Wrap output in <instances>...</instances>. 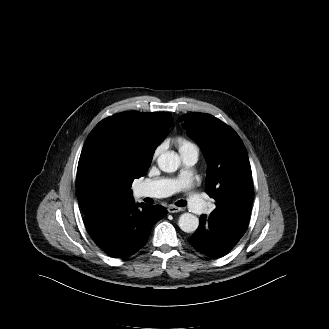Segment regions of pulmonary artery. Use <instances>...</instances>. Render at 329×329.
I'll return each mask as SVG.
<instances>
[{
	"instance_id": "obj_1",
	"label": "pulmonary artery",
	"mask_w": 329,
	"mask_h": 329,
	"mask_svg": "<svg viewBox=\"0 0 329 329\" xmlns=\"http://www.w3.org/2000/svg\"><path fill=\"white\" fill-rule=\"evenodd\" d=\"M181 156L187 166H192L198 160L199 149L193 145L188 151L182 153ZM191 181L192 172L190 171L182 172L176 179L161 178L147 181L139 185L137 196L151 198L167 197L179 190L187 189ZM186 202L189 209L194 213H199L206 207L202 198L193 193L188 194Z\"/></svg>"
}]
</instances>
